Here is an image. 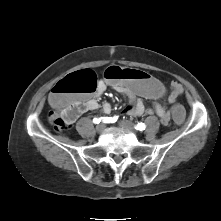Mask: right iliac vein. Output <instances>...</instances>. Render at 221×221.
<instances>
[{"instance_id": "1", "label": "right iliac vein", "mask_w": 221, "mask_h": 221, "mask_svg": "<svg viewBox=\"0 0 221 221\" xmlns=\"http://www.w3.org/2000/svg\"><path fill=\"white\" fill-rule=\"evenodd\" d=\"M104 129H105V125L104 124H99V125L96 126V131L98 133L103 132Z\"/></svg>"}]
</instances>
